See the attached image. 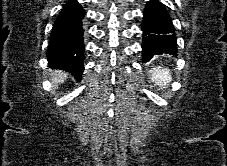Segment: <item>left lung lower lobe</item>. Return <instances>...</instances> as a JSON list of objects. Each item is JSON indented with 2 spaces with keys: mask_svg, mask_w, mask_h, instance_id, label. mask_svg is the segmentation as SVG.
Segmentation results:
<instances>
[{
  "mask_svg": "<svg viewBox=\"0 0 227 166\" xmlns=\"http://www.w3.org/2000/svg\"><path fill=\"white\" fill-rule=\"evenodd\" d=\"M142 54L143 62L155 54L177 52L176 35L171 18L159 0H150L144 10Z\"/></svg>",
  "mask_w": 227,
  "mask_h": 166,
  "instance_id": "obj_1",
  "label": "left lung lower lobe"
}]
</instances>
